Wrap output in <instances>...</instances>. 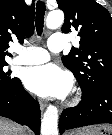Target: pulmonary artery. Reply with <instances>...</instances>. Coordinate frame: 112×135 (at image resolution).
Returning <instances> with one entry per match:
<instances>
[{
    "mask_svg": "<svg viewBox=\"0 0 112 135\" xmlns=\"http://www.w3.org/2000/svg\"><path fill=\"white\" fill-rule=\"evenodd\" d=\"M47 47L52 52H59L65 47V37L62 34H53L50 36ZM17 56L14 59L16 64L33 65L44 63L49 60L47 50L40 47H16Z\"/></svg>",
    "mask_w": 112,
    "mask_h": 135,
    "instance_id": "pulmonary-artery-1",
    "label": "pulmonary artery"
}]
</instances>
